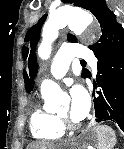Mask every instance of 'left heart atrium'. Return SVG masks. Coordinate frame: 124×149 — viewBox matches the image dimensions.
<instances>
[{
	"instance_id": "1",
	"label": "left heart atrium",
	"mask_w": 124,
	"mask_h": 149,
	"mask_svg": "<svg viewBox=\"0 0 124 149\" xmlns=\"http://www.w3.org/2000/svg\"><path fill=\"white\" fill-rule=\"evenodd\" d=\"M70 117L73 120H83L89 113L91 100L86 89L76 84L70 89Z\"/></svg>"
}]
</instances>
